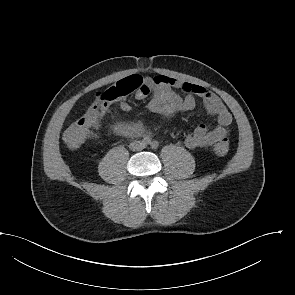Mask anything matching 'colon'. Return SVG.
I'll list each match as a JSON object with an SVG mask.
<instances>
[{"label":"colon","instance_id":"colon-1","mask_svg":"<svg viewBox=\"0 0 295 295\" xmlns=\"http://www.w3.org/2000/svg\"><path fill=\"white\" fill-rule=\"evenodd\" d=\"M143 85V78L139 75L126 77L112 86L99 92L86 112L69 125L63 133L64 143L72 149L80 147L90 138L99 125L100 116L115 102L132 92L138 91ZM229 144L222 142L213 147L217 155H225Z\"/></svg>","mask_w":295,"mask_h":295}]
</instances>
